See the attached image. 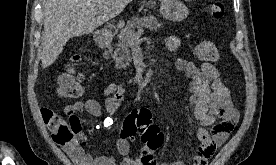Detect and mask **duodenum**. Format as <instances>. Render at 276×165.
Returning <instances> with one entry per match:
<instances>
[{
	"label": "duodenum",
	"instance_id": "1",
	"mask_svg": "<svg viewBox=\"0 0 276 165\" xmlns=\"http://www.w3.org/2000/svg\"><path fill=\"white\" fill-rule=\"evenodd\" d=\"M96 40H97V43L99 44V46L105 48V47L109 46V44L111 42V36L106 32H98L96 34Z\"/></svg>",
	"mask_w": 276,
	"mask_h": 165
}]
</instances>
